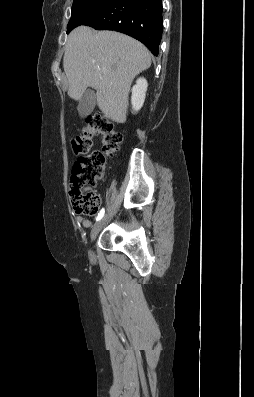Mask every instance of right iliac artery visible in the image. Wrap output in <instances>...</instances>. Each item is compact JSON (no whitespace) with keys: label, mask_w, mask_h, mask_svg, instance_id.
<instances>
[{"label":"right iliac artery","mask_w":254,"mask_h":397,"mask_svg":"<svg viewBox=\"0 0 254 397\" xmlns=\"http://www.w3.org/2000/svg\"><path fill=\"white\" fill-rule=\"evenodd\" d=\"M103 215H104V208L101 209V211L99 212V214H98L96 220H97V221L100 220V219L103 217Z\"/></svg>","instance_id":"1"}]
</instances>
